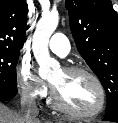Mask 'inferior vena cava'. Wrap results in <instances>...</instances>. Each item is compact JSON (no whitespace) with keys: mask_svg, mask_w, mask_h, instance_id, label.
Masks as SVG:
<instances>
[{"mask_svg":"<svg viewBox=\"0 0 118 123\" xmlns=\"http://www.w3.org/2000/svg\"><path fill=\"white\" fill-rule=\"evenodd\" d=\"M39 109L36 105L35 98L31 89L26 88L22 91L21 96V115L26 123H33L37 120Z\"/></svg>","mask_w":118,"mask_h":123,"instance_id":"1","label":"inferior vena cava"}]
</instances>
